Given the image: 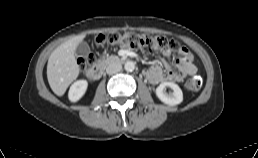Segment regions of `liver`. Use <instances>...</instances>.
<instances>
[{
	"label": "liver",
	"instance_id": "1",
	"mask_svg": "<svg viewBox=\"0 0 258 158\" xmlns=\"http://www.w3.org/2000/svg\"><path fill=\"white\" fill-rule=\"evenodd\" d=\"M84 38L85 35L81 34L62 43L51 53L48 59L47 79L52 91L57 96H62L79 75L75 50Z\"/></svg>",
	"mask_w": 258,
	"mask_h": 158
}]
</instances>
